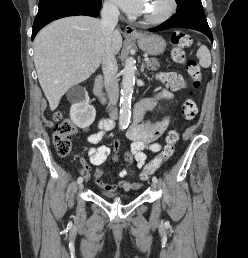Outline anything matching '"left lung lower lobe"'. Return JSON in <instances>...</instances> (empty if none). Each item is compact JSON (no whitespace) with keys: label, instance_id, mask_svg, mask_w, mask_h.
I'll use <instances>...</instances> for the list:
<instances>
[{"label":"left lung lower lobe","instance_id":"left-lung-lower-lobe-1","mask_svg":"<svg viewBox=\"0 0 248 258\" xmlns=\"http://www.w3.org/2000/svg\"><path fill=\"white\" fill-rule=\"evenodd\" d=\"M174 27H182L200 31L207 35L211 42H213V36L208 26L203 9L193 10L188 13H176L164 23L155 28L149 29V31L156 32Z\"/></svg>","mask_w":248,"mask_h":258}]
</instances>
